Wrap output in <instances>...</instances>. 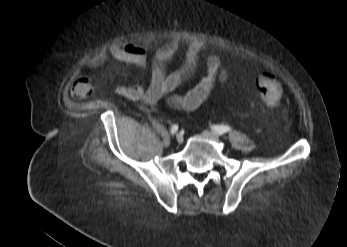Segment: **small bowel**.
Masks as SVG:
<instances>
[{
  "instance_id": "obj_1",
  "label": "small bowel",
  "mask_w": 347,
  "mask_h": 247,
  "mask_svg": "<svg viewBox=\"0 0 347 247\" xmlns=\"http://www.w3.org/2000/svg\"><path fill=\"white\" fill-rule=\"evenodd\" d=\"M178 50L179 42L176 40L168 41L160 46L155 51L150 63L149 85L145 86L139 81L130 85H118L115 88V93L125 99L142 101L150 106H157L161 101H165L169 108L179 112L198 109L209 98L217 83L228 81L229 72L217 54H210L206 60L205 75L184 94H174L173 92L180 85L192 77L199 61L202 44L197 41L189 43L180 66L168 72L167 65ZM111 55L120 63L134 65L140 69H145L148 64L146 50L140 45L117 46L111 51ZM105 61L106 55L98 54L90 58L86 65L90 68H97ZM264 74L275 76L270 71L264 72L260 76ZM91 86V80L82 79L75 85L74 90L80 96H85L89 93Z\"/></svg>"
}]
</instances>
